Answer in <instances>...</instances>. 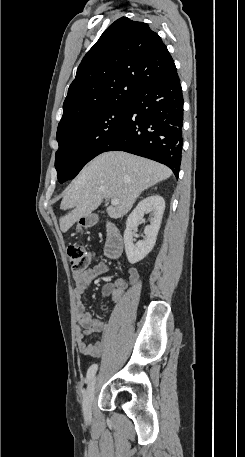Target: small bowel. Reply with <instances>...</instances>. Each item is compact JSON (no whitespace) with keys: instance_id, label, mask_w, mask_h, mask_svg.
Returning <instances> with one entry per match:
<instances>
[{"instance_id":"1","label":"small bowel","mask_w":245,"mask_h":457,"mask_svg":"<svg viewBox=\"0 0 245 457\" xmlns=\"http://www.w3.org/2000/svg\"><path fill=\"white\" fill-rule=\"evenodd\" d=\"M110 267L106 263H98L84 272L74 271L73 278L75 281V292L78 297L76 305L77 326L75 329L76 344L78 351L86 356L98 357L103 351L122 349L126 341V333L114 327L104 328L101 319L95 317L86 311L83 302L80 300L81 295L87 287L100 275L108 272ZM139 279L138 271L135 268L129 269L130 283H136ZM128 287L125 279L119 278L113 282L106 283L102 288L104 296H110L114 302L121 300L124 292ZM104 331L101 340L94 344H88L86 338L93 333Z\"/></svg>"}]
</instances>
